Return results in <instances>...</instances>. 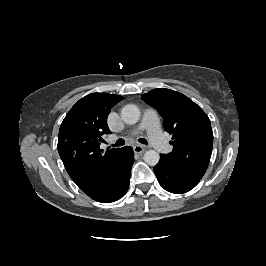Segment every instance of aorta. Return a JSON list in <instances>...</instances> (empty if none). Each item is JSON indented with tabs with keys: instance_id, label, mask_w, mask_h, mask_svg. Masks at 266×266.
Listing matches in <instances>:
<instances>
[{
	"instance_id": "762f6f07",
	"label": "aorta",
	"mask_w": 266,
	"mask_h": 266,
	"mask_svg": "<svg viewBox=\"0 0 266 266\" xmlns=\"http://www.w3.org/2000/svg\"><path fill=\"white\" fill-rule=\"evenodd\" d=\"M140 110L134 104L125 105L121 110V118L127 124H135L140 119ZM144 161L150 166L158 164L160 155L155 150H148L144 153Z\"/></svg>"
}]
</instances>
